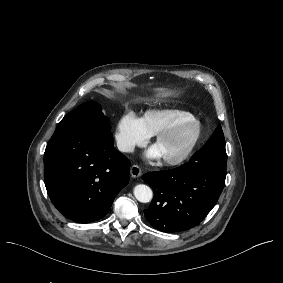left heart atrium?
<instances>
[{"mask_svg": "<svg viewBox=\"0 0 283 283\" xmlns=\"http://www.w3.org/2000/svg\"><path fill=\"white\" fill-rule=\"evenodd\" d=\"M143 158L146 161H159L163 159V154L157 143L149 146L143 153Z\"/></svg>", "mask_w": 283, "mask_h": 283, "instance_id": "left-heart-atrium-1", "label": "left heart atrium"}]
</instances>
